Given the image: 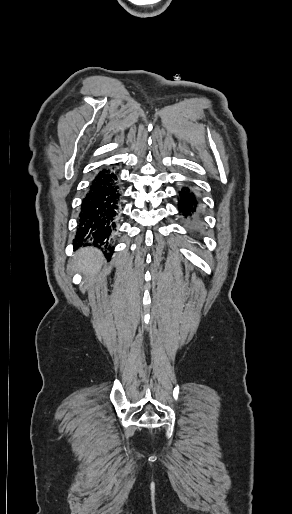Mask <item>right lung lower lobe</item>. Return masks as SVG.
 Wrapping results in <instances>:
<instances>
[{
  "instance_id": "obj_1",
  "label": "right lung lower lobe",
  "mask_w": 292,
  "mask_h": 514,
  "mask_svg": "<svg viewBox=\"0 0 292 514\" xmlns=\"http://www.w3.org/2000/svg\"><path fill=\"white\" fill-rule=\"evenodd\" d=\"M121 200L122 192L117 173L111 169L99 171L82 200L79 226L73 241L75 248L87 241L107 248V258L113 254L111 235L116 227Z\"/></svg>"
}]
</instances>
